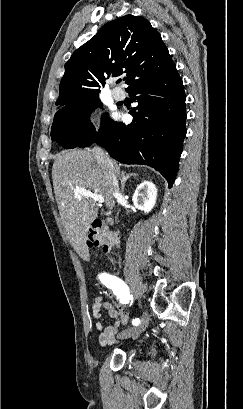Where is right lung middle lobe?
<instances>
[{
  "mask_svg": "<svg viewBox=\"0 0 243 409\" xmlns=\"http://www.w3.org/2000/svg\"><path fill=\"white\" fill-rule=\"evenodd\" d=\"M97 106L102 107V103L98 97H94L66 105L56 112L51 127L52 140L69 149L77 147L84 139L93 136L95 128L90 122L89 115ZM110 120L108 114H104L101 128Z\"/></svg>",
  "mask_w": 243,
  "mask_h": 409,
  "instance_id": "obj_1",
  "label": "right lung middle lobe"
}]
</instances>
